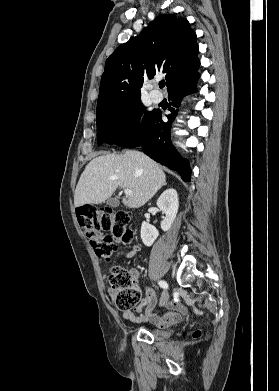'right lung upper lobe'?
Returning <instances> with one entry per match:
<instances>
[{
    "instance_id": "1",
    "label": "right lung upper lobe",
    "mask_w": 279,
    "mask_h": 391,
    "mask_svg": "<svg viewBox=\"0 0 279 391\" xmlns=\"http://www.w3.org/2000/svg\"><path fill=\"white\" fill-rule=\"evenodd\" d=\"M196 33L186 19L161 15L107 59L97 113L140 100L145 79L165 74L167 90L197 72Z\"/></svg>"
}]
</instances>
